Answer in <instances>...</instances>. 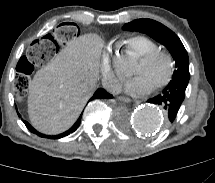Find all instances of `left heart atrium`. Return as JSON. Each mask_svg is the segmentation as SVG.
I'll use <instances>...</instances> for the list:
<instances>
[{"label": "left heart atrium", "instance_id": "39dd6f15", "mask_svg": "<svg viewBox=\"0 0 215 183\" xmlns=\"http://www.w3.org/2000/svg\"><path fill=\"white\" fill-rule=\"evenodd\" d=\"M123 89L131 94L142 95L149 93L152 86L144 75L138 74L126 79L123 83Z\"/></svg>", "mask_w": 215, "mask_h": 183}]
</instances>
